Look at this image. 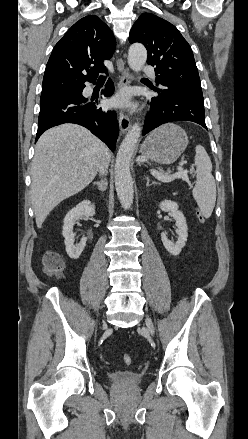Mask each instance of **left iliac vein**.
<instances>
[{"label": "left iliac vein", "instance_id": "obj_1", "mask_svg": "<svg viewBox=\"0 0 248 439\" xmlns=\"http://www.w3.org/2000/svg\"><path fill=\"white\" fill-rule=\"evenodd\" d=\"M146 326H147L148 330L150 331V333L153 335L154 334V326H153L152 320L148 316L146 317Z\"/></svg>", "mask_w": 248, "mask_h": 439}]
</instances>
